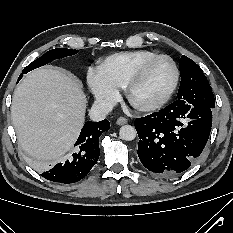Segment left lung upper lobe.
Segmentation results:
<instances>
[{"label":"left lung upper lobe","mask_w":233,"mask_h":233,"mask_svg":"<svg viewBox=\"0 0 233 233\" xmlns=\"http://www.w3.org/2000/svg\"><path fill=\"white\" fill-rule=\"evenodd\" d=\"M181 84L176 102L199 107H215L211 86L201 68L186 56L179 60Z\"/></svg>","instance_id":"5c2ea615"}]
</instances>
